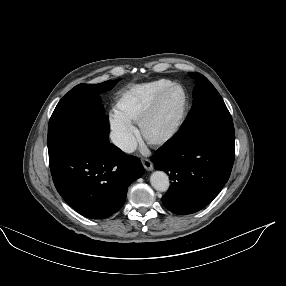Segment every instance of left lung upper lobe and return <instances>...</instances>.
<instances>
[{
  "label": "left lung upper lobe",
  "mask_w": 286,
  "mask_h": 286,
  "mask_svg": "<svg viewBox=\"0 0 286 286\" xmlns=\"http://www.w3.org/2000/svg\"><path fill=\"white\" fill-rule=\"evenodd\" d=\"M196 76L193 90V105L177 134L170 139L189 141L207 134H234L232 117L218 91L200 74Z\"/></svg>",
  "instance_id": "5c2ea615"
}]
</instances>
